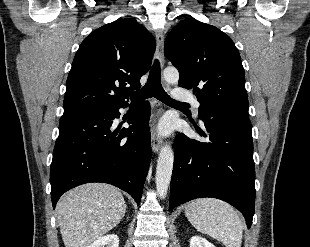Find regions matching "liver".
Wrapping results in <instances>:
<instances>
[{"label":"liver","instance_id":"6515ba94","mask_svg":"<svg viewBox=\"0 0 310 247\" xmlns=\"http://www.w3.org/2000/svg\"><path fill=\"white\" fill-rule=\"evenodd\" d=\"M127 205L114 186L90 183L67 192L58 202V224L65 247H88L116 227Z\"/></svg>","mask_w":310,"mask_h":247}]
</instances>
